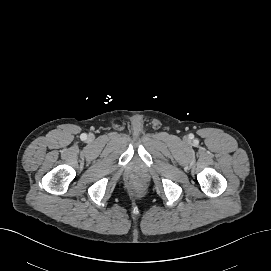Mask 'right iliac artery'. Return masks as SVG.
<instances>
[{"label": "right iliac artery", "mask_w": 271, "mask_h": 271, "mask_svg": "<svg viewBox=\"0 0 271 271\" xmlns=\"http://www.w3.org/2000/svg\"><path fill=\"white\" fill-rule=\"evenodd\" d=\"M82 138H83V139H86V134H83V135H82Z\"/></svg>", "instance_id": "obj_1"}]
</instances>
